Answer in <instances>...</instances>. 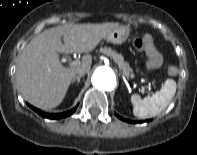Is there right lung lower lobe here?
Returning a JSON list of instances; mask_svg holds the SVG:
<instances>
[{"mask_svg": "<svg viewBox=\"0 0 197 155\" xmlns=\"http://www.w3.org/2000/svg\"><path fill=\"white\" fill-rule=\"evenodd\" d=\"M30 106V105H29ZM35 112H37L39 115L50 118V119H60V118H64L67 117L69 115H71L77 107L73 108L72 110H69L67 112H63V113H58V114H44L41 110L30 106Z\"/></svg>", "mask_w": 197, "mask_h": 155, "instance_id": "1", "label": "right lung lower lobe"}]
</instances>
